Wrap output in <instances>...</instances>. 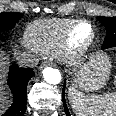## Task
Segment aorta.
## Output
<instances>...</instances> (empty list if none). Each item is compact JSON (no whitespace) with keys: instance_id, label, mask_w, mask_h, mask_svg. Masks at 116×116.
Instances as JSON below:
<instances>
[{"instance_id":"aorta-1","label":"aorta","mask_w":116,"mask_h":116,"mask_svg":"<svg viewBox=\"0 0 116 116\" xmlns=\"http://www.w3.org/2000/svg\"><path fill=\"white\" fill-rule=\"evenodd\" d=\"M44 80L49 84H58L61 82V73L58 69L47 67L43 69Z\"/></svg>"}]
</instances>
